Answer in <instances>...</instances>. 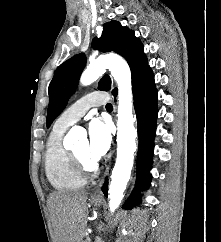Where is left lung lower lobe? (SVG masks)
I'll return each instance as SVG.
<instances>
[{"instance_id":"obj_1","label":"left lung lower lobe","mask_w":221,"mask_h":242,"mask_svg":"<svg viewBox=\"0 0 221 242\" xmlns=\"http://www.w3.org/2000/svg\"><path fill=\"white\" fill-rule=\"evenodd\" d=\"M132 91L138 123L139 149L136 189L125 203V209H130L139 203L140 199L137 194L142 187L148 188L151 179L149 171L152 163L153 141L158 110L154 75L149 66L144 67L132 76ZM112 93L116 96L117 90ZM102 191L107 196V181L102 187Z\"/></svg>"}]
</instances>
